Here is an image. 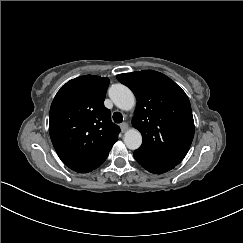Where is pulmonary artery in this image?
Instances as JSON below:
<instances>
[{"label":"pulmonary artery","mask_w":243,"mask_h":243,"mask_svg":"<svg viewBox=\"0 0 243 243\" xmlns=\"http://www.w3.org/2000/svg\"><path fill=\"white\" fill-rule=\"evenodd\" d=\"M116 103H117V105L120 106V107H127V105L124 104V103L121 102V101H117Z\"/></svg>","instance_id":"pulmonary-artery-1"}]
</instances>
